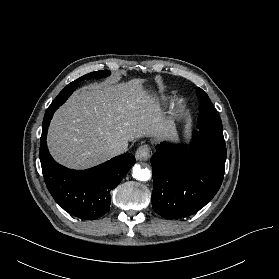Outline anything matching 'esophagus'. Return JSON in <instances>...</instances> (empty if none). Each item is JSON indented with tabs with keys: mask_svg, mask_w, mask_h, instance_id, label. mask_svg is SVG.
Segmentation results:
<instances>
[{
	"mask_svg": "<svg viewBox=\"0 0 279 279\" xmlns=\"http://www.w3.org/2000/svg\"><path fill=\"white\" fill-rule=\"evenodd\" d=\"M150 147L147 144L138 147L135 153V157L138 161H147L150 157Z\"/></svg>",
	"mask_w": 279,
	"mask_h": 279,
	"instance_id": "1",
	"label": "esophagus"
}]
</instances>
